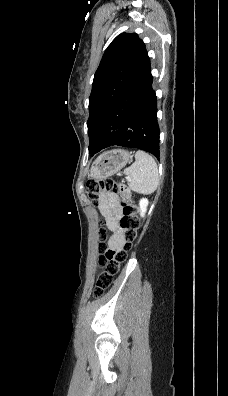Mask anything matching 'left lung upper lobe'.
<instances>
[{
    "label": "left lung upper lobe",
    "instance_id": "left-lung-upper-lobe-1",
    "mask_svg": "<svg viewBox=\"0 0 228 396\" xmlns=\"http://www.w3.org/2000/svg\"><path fill=\"white\" fill-rule=\"evenodd\" d=\"M149 63L145 44L135 33H122L108 46L95 73L89 97V152H98L99 131L132 99L121 100L116 106L115 103Z\"/></svg>",
    "mask_w": 228,
    "mask_h": 396
}]
</instances>
